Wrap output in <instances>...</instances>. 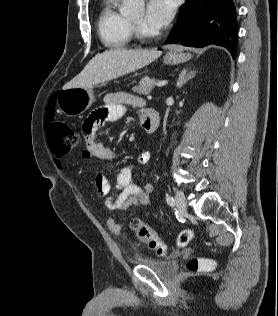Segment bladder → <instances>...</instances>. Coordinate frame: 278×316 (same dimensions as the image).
I'll return each instance as SVG.
<instances>
[{
	"label": "bladder",
	"mask_w": 278,
	"mask_h": 316,
	"mask_svg": "<svg viewBox=\"0 0 278 316\" xmlns=\"http://www.w3.org/2000/svg\"><path fill=\"white\" fill-rule=\"evenodd\" d=\"M136 265L149 268L160 276H170L175 270V262L170 259H149V258H136L134 260Z\"/></svg>",
	"instance_id": "bladder-1"
}]
</instances>
